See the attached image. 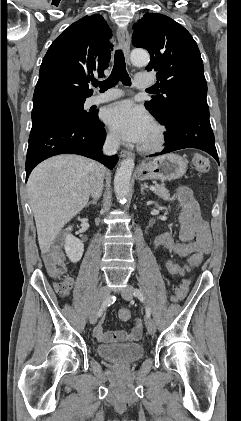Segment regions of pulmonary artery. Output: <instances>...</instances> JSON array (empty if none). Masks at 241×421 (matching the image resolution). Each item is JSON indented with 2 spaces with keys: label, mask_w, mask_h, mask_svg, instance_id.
Segmentation results:
<instances>
[{
  "label": "pulmonary artery",
  "mask_w": 241,
  "mask_h": 421,
  "mask_svg": "<svg viewBox=\"0 0 241 421\" xmlns=\"http://www.w3.org/2000/svg\"><path fill=\"white\" fill-rule=\"evenodd\" d=\"M155 83V80L148 76L138 75L135 79V86L137 88H145ZM123 95V92L118 89L109 90L103 94L93 95L89 98L90 105L105 103L117 99Z\"/></svg>",
  "instance_id": "obj_1"
}]
</instances>
